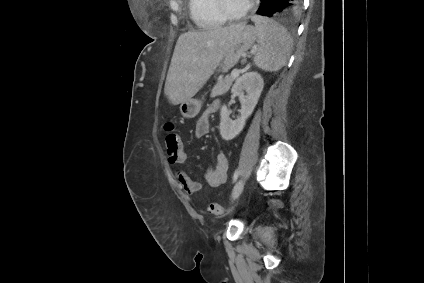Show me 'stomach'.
<instances>
[{
	"label": "stomach",
	"mask_w": 424,
	"mask_h": 283,
	"mask_svg": "<svg viewBox=\"0 0 424 283\" xmlns=\"http://www.w3.org/2000/svg\"><path fill=\"white\" fill-rule=\"evenodd\" d=\"M257 39V30L253 26H245L243 30L233 39L226 51L219 68L222 72L232 69L239 59L251 48ZM202 102L189 98L180 105V111L183 117L193 118L199 114Z\"/></svg>",
	"instance_id": "obj_1"
}]
</instances>
